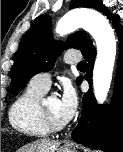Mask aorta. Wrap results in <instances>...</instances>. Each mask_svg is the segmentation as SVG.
I'll return each mask as SVG.
<instances>
[{
    "mask_svg": "<svg viewBox=\"0 0 123 152\" xmlns=\"http://www.w3.org/2000/svg\"><path fill=\"white\" fill-rule=\"evenodd\" d=\"M78 28L88 31L97 45V57L93 69L94 95L98 103L105 102L112 80L116 57V39L106 17L97 11L77 10L68 12L56 25L60 36L69 34Z\"/></svg>",
    "mask_w": 123,
    "mask_h": 152,
    "instance_id": "1",
    "label": "aorta"
}]
</instances>
